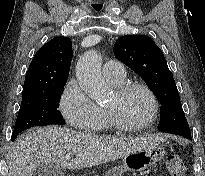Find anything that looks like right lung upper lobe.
Here are the masks:
<instances>
[{
	"label": "right lung upper lobe",
	"instance_id": "obj_1",
	"mask_svg": "<svg viewBox=\"0 0 205 176\" xmlns=\"http://www.w3.org/2000/svg\"><path fill=\"white\" fill-rule=\"evenodd\" d=\"M72 42L68 37H55L34 55L23 86V96L63 85L69 75Z\"/></svg>",
	"mask_w": 205,
	"mask_h": 176
}]
</instances>
